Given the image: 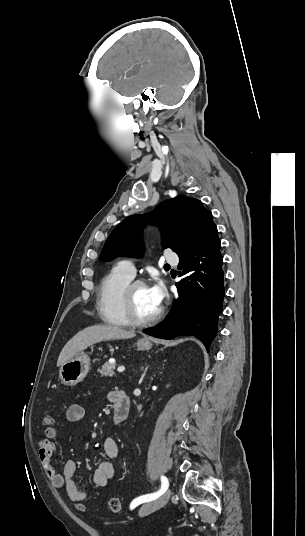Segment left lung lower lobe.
<instances>
[{"instance_id": "1", "label": "left lung lower lobe", "mask_w": 305, "mask_h": 536, "mask_svg": "<svg viewBox=\"0 0 305 536\" xmlns=\"http://www.w3.org/2000/svg\"><path fill=\"white\" fill-rule=\"evenodd\" d=\"M179 259L178 269L182 270L179 276L185 277L176 283L178 298L164 321L143 332L162 339L194 336L208 350L217 333L225 295L217 227Z\"/></svg>"}]
</instances>
